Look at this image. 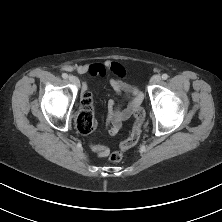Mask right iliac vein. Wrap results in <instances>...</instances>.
I'll list each match as a JSON object with an SVG mask.
<instances>
[{
	"instance_id": "1",
	"label": "right iliac vein",
	"mask_w": 222,
	"mask_h": 222,
	"mask_svg": "<svg viewBox=\"0 0 222 222\" xmlns=\"http://www.w3.org/2000/svg\"><path fill=\"white\" fill-rule=\"evenodd\" d=\"M69 81L71 83H73L74 85H78L79 84V79L76 76H70L69 77Z\"/></svg>"
}]
</instances>
